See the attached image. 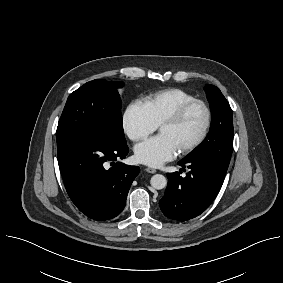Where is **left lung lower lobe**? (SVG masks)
<instances>
[{
    "label": "left lung lower lobe",
    "mask_w": 283,
    "mask_h": 283,
    "mask_svg": "<svg viewBox=\"0 0 283 283\" xmlns=\"http://www.w3.org/2000/svg\"><path fill=\"white\" fill-rule=\"evenodd\" d=\"M190 171L185 177L179 172L168 173V187L159 201L164 215L185 221L200 215L218 195L228 166L209 158L182 159L179 163Z\"/></svg>",
    "instance_id": "left-lung-lower-lobe-1"
}]
</instances>
